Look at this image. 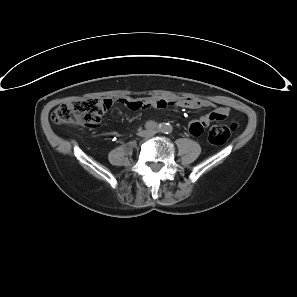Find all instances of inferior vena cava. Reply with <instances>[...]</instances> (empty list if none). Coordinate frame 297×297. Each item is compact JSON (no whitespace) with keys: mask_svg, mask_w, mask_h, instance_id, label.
<instances>
[{"mask_svg":"<svg viewBox=\"0 0 297 297\" xmlns=\"http://www.w3.org/2000/svg\"><path fill=\"white\" fill-rule=\"evenodd\" d=\"M154 134H155V131L151 130V131L147 132L146 135H148V136H153Z\"/></svg>","mask_w":297,"mask_h":297,"instance_id":"1","label":"inferior vena cava"}]
</instances>
